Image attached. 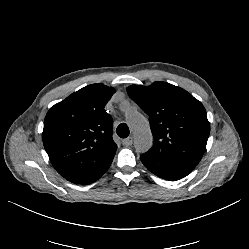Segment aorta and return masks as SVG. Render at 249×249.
<instances>
[{
	"mask_svg": "<svg viewBox=\"0 0 249 249\" xmlns=\"http://www.w3.org/2000/svg\"><path fill=\"white\" fill-rule=\"evenodd\" d=\"M127 122L133 133L135 150L139 153L149 150L153 143L149 122L138 112H128Z\"/></svg>",
	"mask_w": 249,
	"mask_h": 249,
	"instance_id": "obj_1",
	"label": "aorta"
}]
</instances>
